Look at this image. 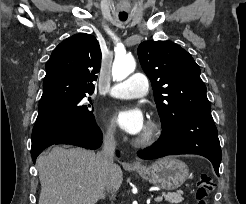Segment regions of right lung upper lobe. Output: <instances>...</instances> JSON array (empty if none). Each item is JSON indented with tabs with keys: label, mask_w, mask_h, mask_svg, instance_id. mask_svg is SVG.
<instances>
[{
	"label": "right lung upper lobe",
	"mask_w": 246,
	"mask_h": 204,
	"mask_svg": "<svg viewBox=\"0 0 246 204\" xmlns=\"http://www.w3.org/2000/svg\"><path fill=\"white\" fill-rule=\"evenodd\" d=\"M101 65L98 41L90 34H76L61 42L46 63L40 101L68 93H92Z\"/></svg>",
	"instance_id": "1"
}]
</instances>
